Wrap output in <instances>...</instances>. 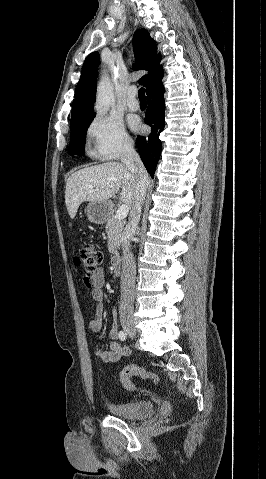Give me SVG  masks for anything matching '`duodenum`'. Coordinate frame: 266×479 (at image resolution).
Here are the masks:
<instances>
[{
	"label": "duodenum",
	"mask_w": 266,
	"mask_h": 479,
	"mask_svg": "<svg viewBox=\"0 0 266 479\" xmlns=\"http://www.w3.org/2000/svg\"><path fill=\"white\" fill-rule=\"evenodd\" d=\"M122 259L118 255H114L111 259V270L112 273L117 275L121 270Z\"/></svg>",
	"instance_id": "duodenum-1"
}]
</instances>
